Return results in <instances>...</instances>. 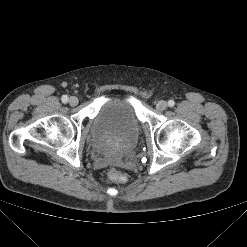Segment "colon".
I'll use <instances>...</instances> for the list:
<instances>
[{
  "label": "colon",
  "mask_w": 247,
  "mask_h": 247,
  "mask_svg": "<svg viewBox=\"0 0 247 247\" xmlns=\"http://www.w3.org/2000/svg\"><path fill=\"white\" fill-rule=\"evenodd\" d=\"M107 178L118 183H125L128 180L127 176L124 173L115 169H111L107 172Z\"/></svg>",
  "instance_id": "obj_1"
}]
</instances>
